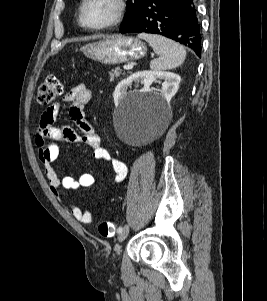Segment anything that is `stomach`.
<instances>
[{
    "label": "stomach",
    "mask_w": 267,
    "mask_h": 301,
    "mask_svg": "<svg viewBox=\"0 0 267 301\" xmlns=\"http://www.w3.org/2000/svg\"><path fill=\"white\" fill-rule=\"evenodd\" d=\"M80 51L88 58L103 64H119L141 59L147 47L139 39L115 35L107 39L89 43Z\"/></svg>",
    "instance_id": "obj_1"
}]
</instances>
